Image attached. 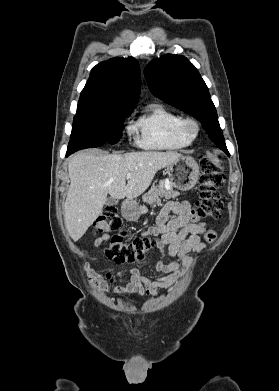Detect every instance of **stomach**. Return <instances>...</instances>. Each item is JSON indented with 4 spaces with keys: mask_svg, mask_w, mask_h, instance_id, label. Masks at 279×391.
<instances>
[{
    "mask_svg": "<svg viewBox=\"0 0 279 391\" xmlns=\"http://www.w3.org/2000/svg\"><path fill=\"white\" fill-rule=\"evenodd\" d=\"M170 182L181 191L192 189L199 180V166L191 157H181L168 168ZM122 216L129 220H137L141 212L134 202H126L121 208Z\"/></svg>",
    "mask_w": 279,
    "mask_h": 391,
    "instance_id": "stomach-1",
    "label": "stomach"
}]
</instances>
